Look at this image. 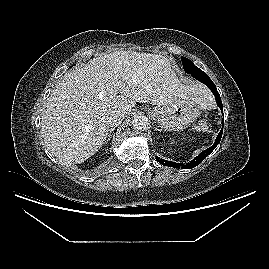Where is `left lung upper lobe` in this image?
I'll list each match as a JSON object with an SVG mask.
<instances>
[{
  "label": "left lung upper lobe",
  "instance_id": "5c2ea615",
  "mask_svg": "<svg viewBox=\"0 0 269 269\" xmlns=\"http://www.w3.org/2000/svg\"><path fill=\"white\" fill-rule=\"evenodd\" d=\"M181 60L183 63V68H184L186 73L192 74V73H195L197 71H202L201 69L196 67L189 59H187L185 57H181Z\"/></svg>",
  "mask_w": 269,
  "mask_h": 269
}]
</instances>
